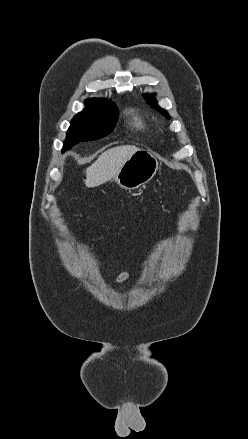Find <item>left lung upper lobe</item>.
Wrapping results in <instances>:
<instances>
[{
  "mask_svg": "<svg viewBox=\"0 0 248 439\" xmlns=\"http://www.w3.org/2000/svg\"><path fill=\"white\" fill-rule=\"evenodd\" d=\"M153 96H154V95L148 96V95L146 94V95H144V98L147 100V102H148L152 107L156 108V109H157L158 111H160L161 113H164V115H165L167 118H169L168 113H167L166 111H164L163 109H161V108L157 105V103H156L155 99L153 98Z\"/></svg>",
  "mask_w": 248,
  "mask_h": 439,
  "instance_id": "obj_1",
  "label": "left lung upper lobe"
}]
</instances>
